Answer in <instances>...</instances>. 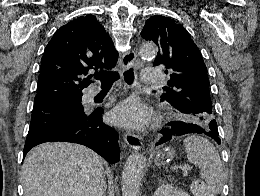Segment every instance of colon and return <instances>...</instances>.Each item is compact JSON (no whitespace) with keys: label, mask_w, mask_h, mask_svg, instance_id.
<instances>
[{"label":"colon","mask_w":260,"mask_h":196,"mask_svg":"<svg viewBox=\"0 0 260 196\" xmlns=\"http://www.w3.org/2000/svg\"><path fill=\"white\" fill-rule=\"evenodd\" d=\"M197 185H198V183H195V184H193V186H192V187L194 188V187H196Z\"/></svg>","instance_id":"5ec220e1"}]
</instances>
